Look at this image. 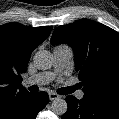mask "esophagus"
Segmentation results:
<instances>
[{
	"label": "esophagus",
	"instance_id": "obj_1",
	"mask_svg": "<svg viewBox=\"0 0 119 119\" xmlns=\"http://www.w3.org/2000/svg\"><path fill=\"white\" fill-rule=\"evenodd\" d=\"M60 96L56 93H49V99L52 101V100H55V99H58Z\"/></svg>",
	"mask_w": 119,
	"mask_h": 119
}]
</instances>
